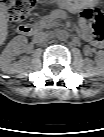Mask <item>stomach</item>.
Instances as JSON below:
<instances>
[{
	"instance_id": "obj_1",
	"label": "stomach",
	"mask_w": 104,
	"mask_h": 137,
	"mask_svg": "<svg viewBox=\"0 0 104 137\" xmlns=\"http://www.w3.org/2000/svg\"><path fill=\"white\" fill-rule=\"evenodd\" d=\"M83 0H56V2L69 10H75L83 7Z\"/></svg>"
}]
</instances>
